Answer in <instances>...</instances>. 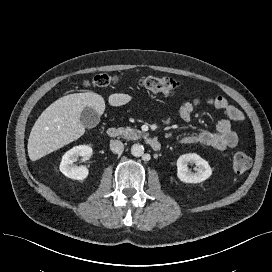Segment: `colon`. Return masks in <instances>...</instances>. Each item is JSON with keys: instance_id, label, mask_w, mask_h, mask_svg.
<instances>
[{"instance_id": "colon-1", "label": "colon", "mask_w": 272, "mask_h": 272, "mask_svg": "<svg viewBox=\"0 0 272 272\" xmlns=\"http://www.w3.org/2000/svg\"><path fill=\"white\" fill-rule=\"evenodd\" d=\"M118 81L116 76L100 74L96 75L91 81H86L84 85L86 87L94 86L98 88H106L115 84ZM139 86L148 92L153 94L167 95L180 86V83L171 77H156L146 76L139 79ZM251 166L250 157L244 152H237L233 156V169L237 173H243L247 171Z\"/></svg>"}]
</instances>
